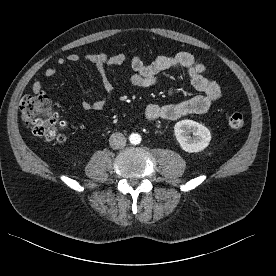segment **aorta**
I'll use <instances>...</instances> for the list:
<instances>
[{
	"label": "aorta",
	"mask_w": 276,
	"mask_h": 276,
	"mask_svg": "<svg viewBox=\"0 0 276 276\" xmlns=\"http://www.w3.org/2000/svg\"><path fill=\"white\" fill-rule=\"evenodd\" d=\"M129 140L132 144H139L141 141V136L137 133H133L130 135Z\"/></svg>",
	"instance_id": "obj_1"
}]
</instances>
